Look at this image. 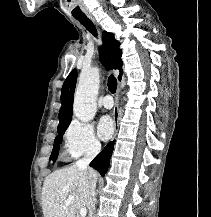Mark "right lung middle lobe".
I'll return each mask as SVG.
<instances>
[{
    "mask_svg": "<svg viewBox=\"0 0 211 217\" xmlns=\"http://www.w3.org/2000/svg\"><path fill=\"white\" fill-rule=\"evenodd\" d=\"M68 125H66V126L62 127L61 129L57 130L58 135L55 138L53 151H52V154H51V157H50V159H52L54 161L56 160V158L58 156V153H59V145H60L61 140H62V135L64 134V132L67 129Z\"/></svg>",
    "mask_w": 211,
    "mask_h": 217,
    "instance_id": "dd1d6c3e",
    "label": "right lung middle lobe"
}]
</instances>
